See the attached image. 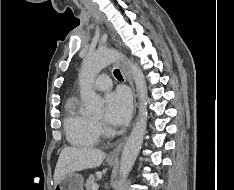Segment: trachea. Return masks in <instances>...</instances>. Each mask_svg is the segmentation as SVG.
I'll use <instances>...</instances> for the list:
<instances>
[{
	"label": "trachea",
	"instance_id": "1",
	"mask_svg": "<svg viewBox=\"0 0 234 190\" xmlns=\"http://www.w3.org/2000/svg\"><path fill=\"white\" fill-rule=\"evenodd\" d=\"M114 76L118 79V80H122L123 77L120 73V71L118 69L114 70Z\"/></svg>",
	"mask_w": 234,
	"mask_h": 190
}]
</instances>
